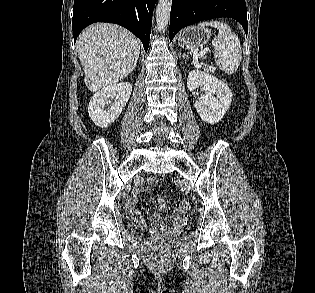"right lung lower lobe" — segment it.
Listing matches in <instances>:
<instances>
[{
  "instance_id": "1",
  "label": "right lung lower lobe",
  "mask_w": 315,
  "mask_h": 293,
  "mask_svg": "<svg viewBox=\"0 0 315 293\" xmlns=\"http://www.w3.org/2000/svg\"><path fill=\"white\" fill-rule=\"evenodd\" d=\"M157 0H75L72 20L74 41L94 22L119 24L149 46L152 14Z\"/></svg>"
}]
</instances>
